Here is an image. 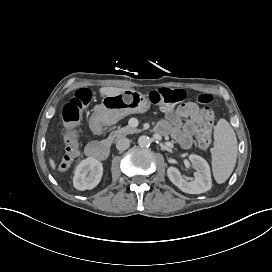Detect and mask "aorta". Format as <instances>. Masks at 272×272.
I'll return each mask as SVG.
<instances>
[{
  "label": "aorta",
  "mask_w": 272,
  "mask_h": 272,
  "mask_svg": "<svg viewBox=\"0 0 272 272\" xmlns=\"http://www.w3.org/2000/svg\"><path fill=\"white\" fill-rule=\"evenodd\" d=\"M138 143H139L140 146L145 147V146H148L150 144V139L146 135H141L138 138Z\"/></svg>",
  "instance_id": "aorta-1"
}]
</instances>
